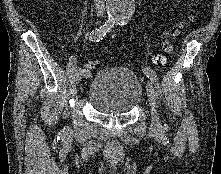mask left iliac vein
Instances as JSON below:
<instances>
[{
    "instance_id": "1",
    "label": "left iliac vein",
    "mask_w": 221,
    "mask_h": 174,
    "mask_svg": "<svg viewBox=\"0 0 221 174\" xmlns=\"http://www.w3.org/2000/svg\"><path fill=\"white\" fill-rule=\"evenodd\" d=\"M146 91H147V96H148V100H149V103L151 106V111H152L151 129L154 131H157L161 128V123H160L159 116L156 111L155 89H154L153 84L150 80H148L146 83Z\"/></svg>"
}]
</instances>
